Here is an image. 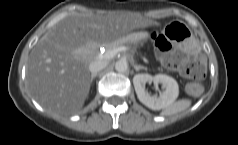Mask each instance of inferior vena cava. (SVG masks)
Instances as JSON below:
<instances>
[{
    "label": "inferior vena cava",
    "mask_w": 238,
    "mask_h": 145,
    "mask_svg": "<svg viewBox=\"0 0 238 145\" xmlns=\"http://www.w3.org/2000/svg\"><path fill=\"white\" fill-rule=\"evenodd\" d=\"M107 66V62L103 60H95L89 64V70L92 74H97Z\"/></svg>",
    "instance_id": "inferior-vena-cava-1"
}]
</instances>
